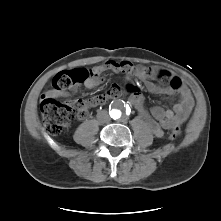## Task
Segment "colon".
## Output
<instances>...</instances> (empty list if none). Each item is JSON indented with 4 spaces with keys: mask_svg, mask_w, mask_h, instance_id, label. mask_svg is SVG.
I'll return each instance as SVG.
<instances>
[{
    "mask_svg": "<svg viewBox=\"0 0 221 221\" xmlns=\"http://www.w3.org/2000/svg\"><path fill=\"white\" fill-rule=\"evenodd\" d=\"M140 68L146 76L155 77L160 83L170 86L174 90H179L182 87L180 79L168 71L154 70L151 66L147 65H143ZM91 74L92 72L85 68L60 71L53 76L51 80V89L49 91L59 93L74 89L78 84L89 78ZM127 90L129 93L138 92V89L132 84L127 87ZM119 91L120 90H118L116 94H118ZM40 108L45 127L53 134L60 133L66 129L74 118L73 107L58 101L55 99V96L51 95L49 92L42 95ZM179 134V129L173 128L170 138L176 139Z\"/></svg>",
    "mask_w": 221,
    "mask_h": 221,
    "instance_id": "5ec220e1",
    "label": "colon"
}]
</instances>
